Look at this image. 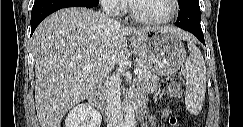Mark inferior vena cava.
<instances>
[{
  "label": "inferior vena cava",
  "instance_id": "obj_1",
  "mask_svg": "<svg viewBox=\"0 0 243 127\" xmlns=\"http://www.w3.org/2000/svg\"><path fill=\"white\" fill-rule=\"evenodd\" d=\"M114 22L116 24L119 23L116 20ZM120 83L121 80L117 75L108 76L105 80V87L107 89V127H124Z\"/></svg>",
  "mask_w": 243,
  "mask_h": 127
}]
</instances>
